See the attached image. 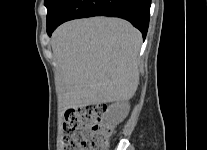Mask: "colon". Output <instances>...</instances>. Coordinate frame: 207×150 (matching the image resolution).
<instances>
[{"label":"colon","mask_w":207,"mask_h":150,"mask_svg":"<svg viewBox=\"0 0 207 150\" xmlns=\"http://www.w3.org/2000/svg\"><path fill=\"white\" fill-rule=\"evenodd\" d=\"M64 129L72 133L64 150H107L114 136V127L98 107L66 111Z\"/></svg>","instance_id":"1"}]
</instances>
